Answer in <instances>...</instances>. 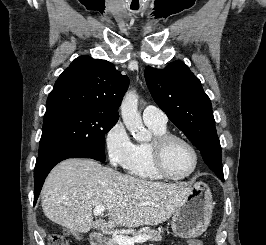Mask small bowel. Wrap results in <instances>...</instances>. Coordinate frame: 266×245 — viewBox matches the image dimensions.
<instances>
[{"instance_id":"small-bowel-1","label":"small bowel","mask_w":266,"mask_h":245,"mask_svg":"<svg viewBox=\"0 0 266 245\" xmlns=\"http://www.w3.org/2000/svg\"><path fill=\"white\" fill-rule=\"evenodd\" d=\"M190 242H198V241H190Z\"/></svg>"}]
</instances>
